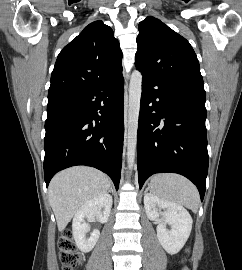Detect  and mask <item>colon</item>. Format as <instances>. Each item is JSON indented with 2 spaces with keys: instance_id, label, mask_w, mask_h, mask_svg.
Here are the masks:
<instances>
[{
  "instance_id": "colon-1",
  "label": "colon",
  "mask_w": 242,
  "mask_h": 270,
  "mask_svg": "<svg viewBox=\"0 0 242 270\" xmlns=\"http://www.w3.org/2000/svg\"><path fill=\"white\" fill-rule=\"evenodd\" d=\"M59 256L62 263V270H73L82 260L70 231H66L58 241Z\"/></svg>"
}]
</instances>
